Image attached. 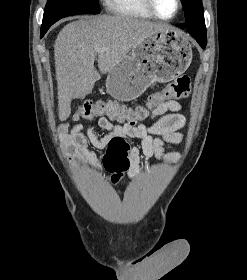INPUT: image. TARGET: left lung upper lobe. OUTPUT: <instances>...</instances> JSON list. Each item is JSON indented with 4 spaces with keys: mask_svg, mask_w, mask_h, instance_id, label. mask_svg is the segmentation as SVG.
<instances>
[{
    "mask_svg": "<svg viewBox=\"0 0 247 280\" xmlns=\"http://www.w3.org/2000/svg\"><path fill=\"white\" fill-rule=\"evenodd\" d=\"M187 30H192L200 36H206L204 10L202 0H182ZM207 38V37H206Z\"/></svg>",
    "mask_w": 247,
    "mask_h": 280,
    "instance_id": "1",
    "label": "left lung upper lobe"
}]
</instances>
